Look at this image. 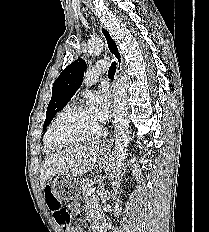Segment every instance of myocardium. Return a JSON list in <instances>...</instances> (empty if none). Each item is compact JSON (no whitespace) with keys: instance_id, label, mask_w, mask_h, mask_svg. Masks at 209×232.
<instances>
[{"instance_id":"myocardium-1","label":"myocardium","mask_w":209,"mask_h":232,"mask_svg":"<svg viewBox=\"0 0 209 232\" xmlns=\"http://www.w3.org/2000/svg\"><path fill=\"white\" fill-rule=\"evenodd\" d=\"M89 108L84 105V104H79V105H74L71 107L66 108L65 110H63L49 125L47 133H46V140L49 143L50 146L54 147V148H61L64 146H68L77 142H82V141H86V140H90L92 138H95L97 136H99L102 133L103 130V125L99 124L98 128L91 134L82 136V137H78V138H74L68 141H64V142H58L56 140H54L53 138V129L56 126V124L62 120L64 117L79 112V111H83V110H88Z\"/></svg>"}]
</instances>
